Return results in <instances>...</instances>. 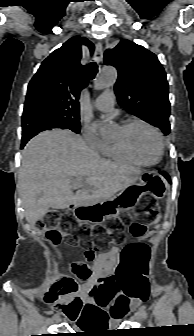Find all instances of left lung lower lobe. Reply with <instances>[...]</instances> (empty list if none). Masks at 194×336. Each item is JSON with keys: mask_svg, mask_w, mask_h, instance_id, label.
Instances as JSON below:
<instances>
[{"mask_svg": "<svg viewBox=\"0 0 194 336\" xmlns=\"http://www.w3.org/2000/svg\"><path fill=\"white\" fill-rule=\"evenodd\" d=\"M166 178H167V180L170 182V178H169V176H168V174L167 173H165V172H161Z\"/></svg>", "mask_w": 194, "mask_h": 336, "instance_id": "1", "label": "left lung lower lobe"}]
</instances>
